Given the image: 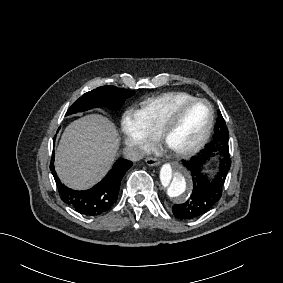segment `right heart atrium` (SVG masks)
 Listing matches in <instances>:
<instances>
[{
  "label": "right heart atrium",
  "instance_id": "obj_1",
  "mask_svg": "<svg viewBox=\"0 0 283 283\" xmlns=\"http://www.w3.org/2000/svg\"><path fill=\"white\" fill-rule=\"evenodd\" d=\"M118 141L133 161L140 160L151 148L153 136L142 115L135 108L126 107L121 115Z\"/></svg>",
  "mask_w": 283,
  "mask_h": 283
}]
</instances>
